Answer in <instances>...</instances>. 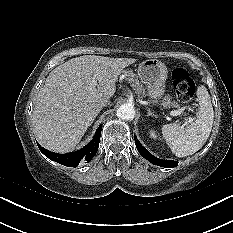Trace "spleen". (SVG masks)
Listing matches in <instances>:
<instances>
[{
	"label": "spleen",
	"instance_id": "spleen-1",
	"mask_svg": "<svg viewBox=\"0 0 233 233\" xmlns=\"http://www.w3.org/2000/svg\"><path fill=\"white\" fill-rule=\"evenodd\" d=\"M199 109L196 119L186 127L177 123L162 126V135L177 157L192 155L206 143L213 126L214 111L205 86L198 87Z\"/></svg>",
	"mask_w": 233,
	"mask_h": 233
}]
</instances>
